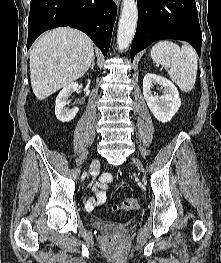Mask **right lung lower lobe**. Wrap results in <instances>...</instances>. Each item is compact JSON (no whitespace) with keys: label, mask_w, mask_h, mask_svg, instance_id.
<instances>
[{"label":"right lung lower lobe","mask_w":221,"mask_h":263,"mask_svg":"<svg viewBox=\"0 0 221 263\" xmlns=\"http://www.w3.org/2000/svg\"><path fill=\"white\" fill-rule=\"evenodd\" d=\"M116 14L113 0H31L27 49L44 31L70 26L86 33L106 55Z\"/></svg>","instance_id":"1"}]
</instances>
